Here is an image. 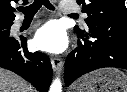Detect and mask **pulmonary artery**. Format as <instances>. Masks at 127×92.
Segmentation results:
<instances>
[{"label": "pulmonary artery", "mask_w": 127, "mask_h": 92, "mask_svg": "<svg viewBox=\"0 0 127 92\" xmlns=\"http://www.w3.org/2000/svg\"><path fill=\"white\" fill-rule=\"evenodd\" d=\"M60 10L63 13H72V12H77L79 11V8L71 3L68 2H61L60 3ZM85 17V15H83ZM20 22L17 23V25H19Z\"/></svg>", "instance_id": "1"}]
</instances>
